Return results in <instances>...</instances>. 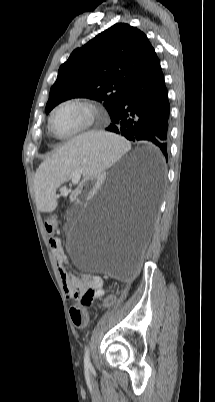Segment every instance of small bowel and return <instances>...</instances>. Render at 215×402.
<instances>
[{
    "instance_id": "obj_1",
    "label": "small bowel",
    "mask_w": 215,
    "mask_h": 402,
    "mask_svg": "<svg viewBox=\"0 0 215 402\" xmlns=\"http://www.w3.org/2000/svg\"><path fill=\"white\" fill-rule=\"evenodd\" d=\"M49 244L57 261L64 291L68 299H80L89 291L92 292L93 299L96 297H101L105 294L101 277L94 275L91 277H88L87 275L78 277L73 274H68L65 271V269L62 267L65 254L61 239L59 237L50 236Z\"/></svg>"
}]
</instances>
